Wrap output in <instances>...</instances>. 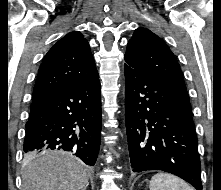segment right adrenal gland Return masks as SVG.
<instances>
[{
    "label": "right adrenal gland",
    "mask_w": 221,
    "mask_h": 190,
    "mask_svg": "<svg viewBox=\"0 0 221 190\" xmlns=\"http://www.w3.org/2000/svg\"><path fill=\"white\" fill-rule=\"evenodd\" d=\"M87 187H88V185H86V186L84 187V189H83V190H86V189H87Z\"/></svg>",
    "instance_id": "2a0ac1e0"
}]
</instances>
